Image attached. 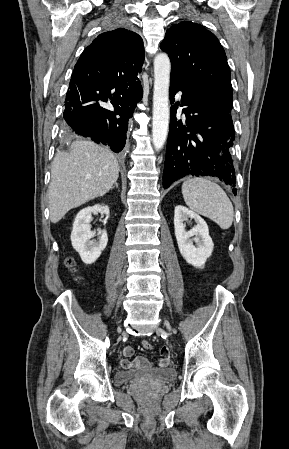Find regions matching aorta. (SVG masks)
Masks as SVG:
<instances>
[{
    "mask_svg": "<svg viewBox=\"0 0 289 449\" xmlns=\"http://www.w3.org/2000/svg\"><path fill=\"white\" fill-rule=\"evenodd\" d=\"M171 63L166 53H159L154 59V91L152 141L156 151L164 146L169 127V84Z\"/></svg>",
    "mask_w": 289,
    "mask_h": 449,
    "instance_id": "obj_1",
    "label": "aorta"
}]
</instances>
